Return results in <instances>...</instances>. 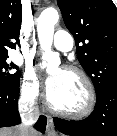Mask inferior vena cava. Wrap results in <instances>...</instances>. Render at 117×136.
Wrapping results in <instances>:
<instances>
[{
	"instance_id": "obj_1",
	"label": "inferior vena cava",
	"mask_w": 117,
	"mask_h": 136,
	"mask_svg": "<svg viewBox=\"0 0 117 136\" xmlns=\"http://www.w3.org/2000/svg\"><path fill=\"white\" fill-rule=\"evenodd\" d=\"M18 109L22 120L20 130L23 133L22 136H27L29 131H33L31 125L39 118V109L33 104L32 100L23 99L19 101Z\"/></svg>"
}]
</instances>
